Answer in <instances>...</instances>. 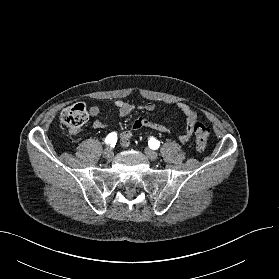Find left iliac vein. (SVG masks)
Instances as JSON below:
<instances>
[{
  "mask_svg": "<svg viewBox=\"0 0 279 279\" xmlns=\"http://www.w3.org/2000/svg\"><path fill=\"white\" fill-rule=\"evenodd\" d=\"M144 153L152 161H154L158 158L157 152H155L154 150H151L149 148H145Z\"/></svg>",
  "mask_w": 279,
  "mask_h": 279,
  "instance_id": "4c4485c4",
  "label": "left iliac vein"
}]
</instances>
